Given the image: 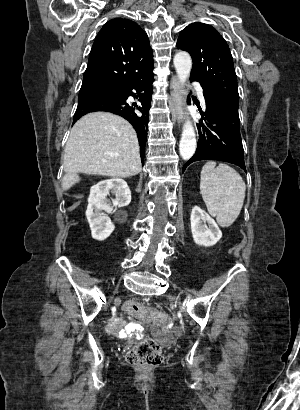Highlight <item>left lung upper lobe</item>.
Segmentation results:
<instances>
[{
	"mask_svg": "<svg viewBox=\"0 0 300 410\" xmlns=\"http://www.w3.org/2000/svg\"><path fill=\"white\" fill-rule=\"evenodd\" d=\"M177 48L190 53V78L209 93L239 105L237 77L230 49L218 31L204 23L189 24L181 31Z\"/></svg>",
	"mask_w": 300,
	"mask_h": 410,
	"instance_id": "5c2ea615",
	"label": "left lung upper lobe"
}]
</instances>
